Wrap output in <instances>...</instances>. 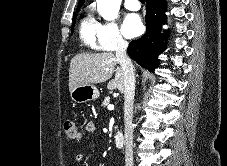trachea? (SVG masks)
I'll use <instances>...</instances> for the list:
<instances>
[{
  "label": "trachea",
  "mask_w": 227,
  "mask_h": 166,
  "mask_svg": "<svg viewBox=\"0 0 227 166\" xmlns=\"http://www.w3.org/2000/svg\"><path fill=\"white\" fill-rule=\"evenodd\" d=\"M141 2H145V0H140Z\"/></svg>",
  "instance_id": "trachea-1"
}]
</instances>
